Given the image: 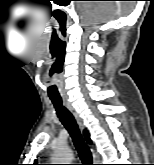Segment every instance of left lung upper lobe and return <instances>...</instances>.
Returning a JSON list of instances; mask_svg holds the SVG:
<instances>
[{
  "instance_id": "5c2ea615",
  "label": "left lung upper lobe",
  "mask_w": 154,
  "mask_h": 165,
  "mask_svg": "<svg viewBox=\"0 0 154 165\" xmlns=\"http://www.w3.org/2000/svg\"><path fill=\"white\" fill-rule=\"evenodd\" d=\"M34 165H37V162L35 161Z\"/></svg>"
}]
</instances>
